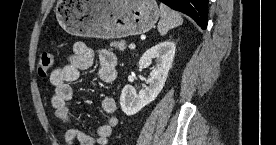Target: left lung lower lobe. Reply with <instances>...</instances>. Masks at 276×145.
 I'll list each match as a JSON object with an SVG mask.
<instances>
[{"mask_svg": "<svg viewBox=\"0 0 276 145\" xmlns=\"http://www.w3.org/2000/svg\"><path fill=\"white\" fill-rule=\"evenodd\" d=\"M174 10L185 13L202 28L207 27L208 0H160Z\"/></svg>", "mask_w": 276, "mask_h": 145, "instance_id": "obj_1", "label": "left lung lower lobe"}]
</instances>
